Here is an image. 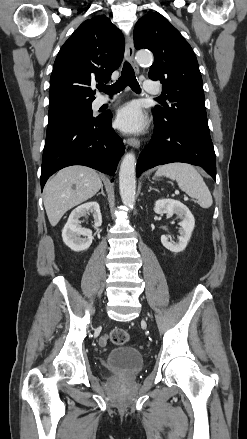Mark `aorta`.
Listing matches in <instances>:
<instances>
[{
	"mask_svg": "<svg viewBox=\"0 0 247 439\" xmlns=\"http://www.w3.org/2000/svg\"><path fill=\"white\" fill-rule=\"evenodd\" d=\"M138 64H149L153 61V55L146 52L136 54ZM136 159L134 153H127L120 165L119 189L122 202L125 206L133 208L136 198Z\"/></svg>",
	"mask_w": 247,
	"mask_h": 439,
	"instance_id": "1",
	"label": "aorta"
}]
</instances>
